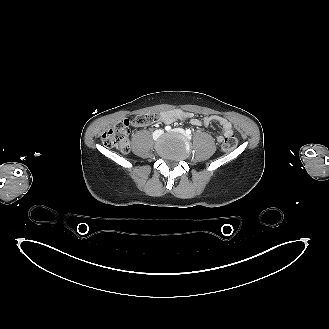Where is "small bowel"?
I'll list each match as a JSON object with an SVG mask.
<instances>
[{
  "mask_svg": "<svg viewBox=\"0 0 329 329\" xmlns=\"http://www.w3.org/2000/svg\"><path fill=\"white\" fill-rule=\"evenodd\" d=\"M159 120L164 124H172L176 121L188 120L194 126H208L212 122L220 124L223 130V135L218 136V142H222L225 137L233 134V127L229 120L218 115H207L203 118H196L191 112L182 109H173L163 111L159 115Z\"/></svg>",
  "mask_w": 329,
  "mask_h": 329,
  "instance_id": "1",
  "label": "small bowel"
}]
</instances>
